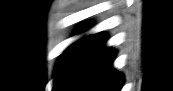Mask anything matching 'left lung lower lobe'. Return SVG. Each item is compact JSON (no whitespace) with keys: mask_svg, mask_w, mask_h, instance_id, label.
<instances>
[{"mask_svg":"<svg viewBox=\"0 0 173 91\" xmlns=\"http://www.w3.org/2000/svg\"><path fill=\"white\" fill-rule=\"evenodd\" d=\"M107 36L90 35L69 56L54 91H120L124 77L112 62L116 52L104 46Z\"/></svg>","mask_w":173,"mask_h":91,"instance_id":"left-lung-lower-lobe-1","label":"left lung lower lobe"}]
</instances>
